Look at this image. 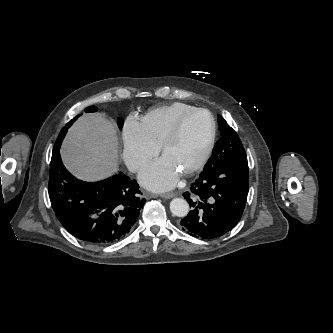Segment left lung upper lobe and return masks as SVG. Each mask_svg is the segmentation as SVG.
Instances as JSON below:
<instances>
[{
  "label": "left lung upper lobe",
  "instance_id": "left-lung-upper-lobe-1",
  "mask_svg": "<svg viewBox=\"0 0 333 333\" xmlns=\"http://www.w3.org/2000/svg\"><path fill=\"white\" fill-rule=\"evenodd\" d=\"M221 138L213 148L212 156L204 167V170L211 167H218L227 161L246 157L245 149L237 133L229 127L221 115H218Z\"/></svg>",
  "mask_w": 333,
  "mask_h": 333
}]
</instances>
